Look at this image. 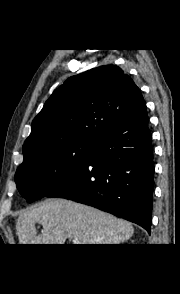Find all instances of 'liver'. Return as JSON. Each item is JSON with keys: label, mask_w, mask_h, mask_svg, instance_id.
Listing matches in <instances>:
<instances>
[{"label": "liver", "mask_w": 180, "mask_h": 294, "mask_svg": "<svg viewBox=\"0 0 180 294\" xmlns=\"http://www.w3.org/2000/svg\"><path fill=\"white\" fill-rule=\"evenodd\" d=\"M43 229L37 235L35 224ZM19 244H120L134 234L133 226L108 213L66 199L47 200L23 211L16 221Z\"/></svg>", "instance_id": "1"}]
</instances>
